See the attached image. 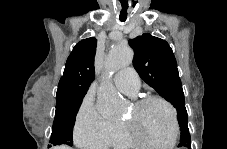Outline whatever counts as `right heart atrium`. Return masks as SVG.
<instances>
[{
    "label": "right heart atrium",
    "mask_w": 227,
    "mask_h": 149,
    "mask_svg": "<svg viewBox=\"0 0 227 149\" xmlns=\"http://www.w3.org/2000/svg\"><path fill=\"white\" fill-rule=\"evenodd\" d=\"M119 123L105 118L89 98L83 100L74 127L78 145L88 149L111 146L116 138Z\"/></svg>",
    "instance_id": "d8ad5b80"
}]
</instances>
